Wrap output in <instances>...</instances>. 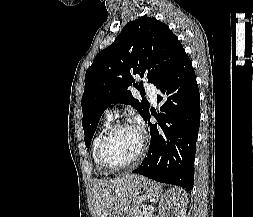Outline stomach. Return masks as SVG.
<instances>
[{"label":"stomach","instance_id":"1","mask_svg":"<svg viewBox=\"0 0 253 217\" xmlns=\"http://www.w3.org/2000/svg\"><path fill=\"white\" fill-rule=\"evenodd\" d=\"M161 192L162 187L160 184L146 178L141 180L133 191L132 204L121 217H130L132 213L139 209L142 203L155 200L161 195Z\"/></svg>","mask_w":253,"mask_h":217}]
</instances>
